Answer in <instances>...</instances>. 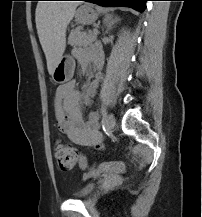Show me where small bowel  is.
I'll use <instances>...</instances> for the list:
<instances>
[{
	"mask_svg": "<svg viewBox=\"0 0 202 217\" xmlns=\"http://www.w3.org/2000/svg\"><path fill=\"white\" fill-rule=\"evenodd\" d=\"M73 55L78 61L82 73L86 71L92 60L97 69L102 65L99 56H92L91 53L83 49H75ZM100 79L101 75L97 73L83 92L76 89L75 80L60 85L55 90V123L58 129L75 144L93 148L103 147V137L98 130V114L90 112L87 119H84L81 109L82 104L91 103Z\"/></svg>",
	"mask_w": 202,
	"mask_h": 217,
	"instance_id": "obj_1",
	"label": "small bowel"
}]
</instances>
